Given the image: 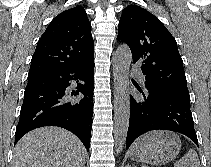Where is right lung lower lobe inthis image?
I'll return each mask as SVG.
<instances>
[{
  "mask_svg": "<svg viewBox=\"0 0 211 167\" xmlns=\"http://www.w3.org/2000/svg\"><path fill=\"white\" fill-rule=\"evenodd\" d=\"M79 80L70 91V81ZM25 88L15 133V143L27 132L43 126H59L74 133L87 150L93 115L94 58L86 64L60 70L35 80ZM83 94L80 99L72 96Z\"/></svg>",
  "mask_w": 211,
  "mask_h": 167,
  "instance_id": "98d812e1",
  "label": "right lung lower lobe"
}]
</instances>
